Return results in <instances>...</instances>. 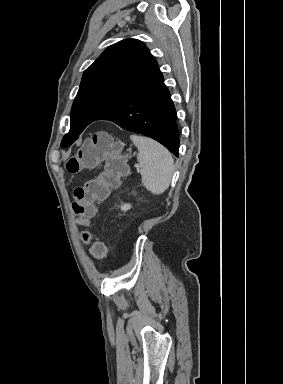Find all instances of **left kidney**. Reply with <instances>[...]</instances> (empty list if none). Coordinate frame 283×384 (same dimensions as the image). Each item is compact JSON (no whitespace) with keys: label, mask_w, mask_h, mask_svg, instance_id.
Here are the masks:
<instances>
[{"label":"left kidney","mask_w":283,"mask_h":384,"mask_svg":"<svg viewBox=\"0 0 283 384\" xmlns=\"http://www.w3.org/2000/svg\"><path fill=\"white\" fill-rule=\"evenodd\" d=\"M130 208H132L131 204H124V206H121L122 212H127Z\"/></svg>","instance_id":"5707ae66"}]
</instances>
